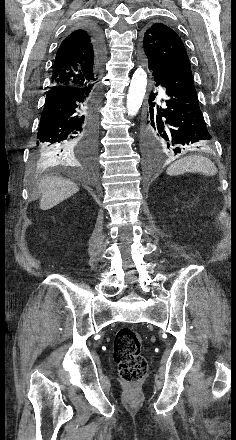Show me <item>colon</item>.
Segmentation results:
<instances>
[{"instance_id":"1","label":"colon","mask_w":236,"mask_h":440,"mask_svg":"<svg viewBox=\"0 0 236 440\" xmlns=\"http://www.w3.org/2000/svg\"><path fill=\"white\" fill-rule=\"evenodd\" d=\"M142 339L132 328H121L115 337L113 353L121 378L128 383L141 381L147 373V361L141 354Z\"/></svg>"}]
</instances>
